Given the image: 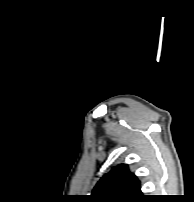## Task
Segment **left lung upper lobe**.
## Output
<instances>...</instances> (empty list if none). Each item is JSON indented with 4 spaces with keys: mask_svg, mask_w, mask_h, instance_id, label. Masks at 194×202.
Listing matches in <instances>:
<instances>
[{
    "mask_svg": "<svg viewBox=\"0 0 194 202\" xmlns=\"http://www.w3.org/2000/svg\"><path fill=\"white\" fill-rule=\"evenodd\" d=\"M95 202H137L144 198L140 181L120 164L100 179L90 196Z\"/></svg>",
    "mask_w": 194,
    "mask_h": 202,
    "instance_id": "5c2ea615",
    "label": "left lung upper lobe"
}]
</instances>
